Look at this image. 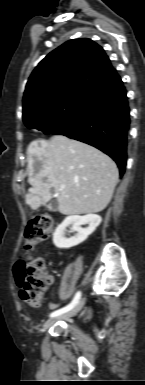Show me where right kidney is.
I'll list each match as a JSON object with an SVG mask.
<instances>
[{"label": "right kidney", "instance_id": "1", "mask_svg": "<svg viewBox=\"0 0 145 385\" xmlns=\"http://www.w3.org/2000/svg\"><path fill=\"white\" fill-rule=\"evenodd\" d=\"M102 218L96 214H87L84 216L71 215L57 227L53 234V243L59 249H69L77 246L85 241L101 223ZM88 224V227L82 228L81 225ZM72 226V230L77 234L73 237L66 238L65 231L68 226Z\"/></svg>", "mask_w": 145, "mask_h": 385}]
</instances>
